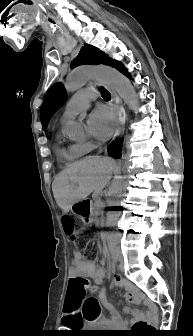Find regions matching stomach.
Instances as JSON below:
<instances>
[{
  "instance_id": "stomach-1",
  "label": "stomach",
  "mask_w": 193,
  "mask_h": 336,
  "mask_svg": "<svg viewBox=\"0 0 193 336\" xmlns=\"http://www.w3.org/2000/svg\"><path fill=\"white\" fill-rule=\"evenodd\" d=\"M71 211L77 215L84 224H90L93 221V209L91 203L86 199L72 204Z\"/></svg>"
}]
</instances>
